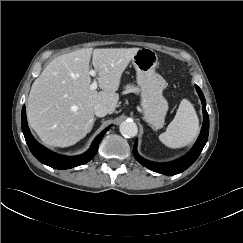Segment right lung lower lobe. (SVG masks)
<instances>
[{
  "label": "right lung lower lobe",
  "mask_w": 243,
  "mask_h": 243,
  "mask_svg": "<svg viewBox=\"0 0 243 243\" xmlns=\"http://www.w3.org/2000/svg\"><path fill=\"white\" fill-rule=\"evenodd\" d=\"M109 128L110 126L94 139L86 153L75 157L61 156L46 149L33 138L27 125L25 107L22 109V131L30 151L40 162L55 169H69L89 162L97 153L99 143Z\"/></svg>",
  "instance_id": "98d812e1"
}]
</instances>
